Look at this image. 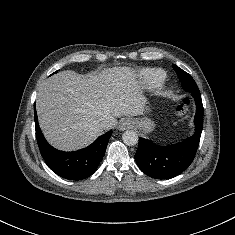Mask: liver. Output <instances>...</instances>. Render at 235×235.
<instances>
[{
	"label": "liver",
	"instance_id": "obj_1",
	"mask_svg": "<svg viewBox=\"0 0 235 235\" xmlns=\"http://www.w3.org/2000/svg\"><path fill=\"white\" fill-rule=\"evenodd\" d=\"M146 99L129 67L100 74L62 71L48 78L38 93L36 110L41 130L55 148H84L117 124V117L142 115ZM107 120L109 126L99 123Z\"/></svg>",
	"mask_w": 235,
	"mask_h": 235
}]
</instances>
